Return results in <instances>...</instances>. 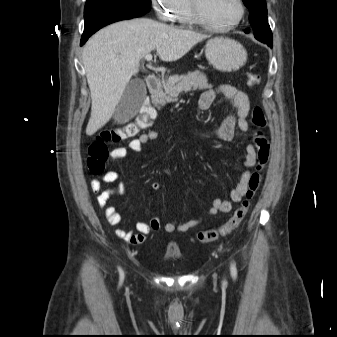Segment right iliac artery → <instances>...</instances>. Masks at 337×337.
Here are the masks:
<instances>
[{
  "instance_id": "1",
  "label": "right iliac artery",
  "mask_w": 337,
  "mask_h": 337,
  "mask_svg": "<svg viewBox=\"0 0 337 337\" xmlns=\"http://www.w3.org/2000/svg\"><path fill=\"white\" fill-rule=\"evenodd\" d=\"M123 279V274L121 273V280Z\"/></svg>"
}]
</instances>
